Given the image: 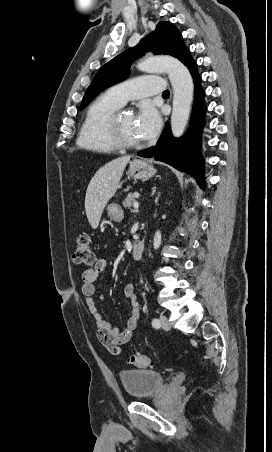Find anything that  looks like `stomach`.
I'll return each mask as SVG.
<instances>
[{
	"mask_svg": "<svg viewBox=\"0 0 272 452\" xmlns=\"http://www.w3.org/2000/svg\"><path fill=\"white\" fill-rule=\"evenodd\" d=\"M129 164V169L126 172L128 177L147 180L156 174V169L153 167L152 162L148 160L134 159ZM107 211L111 220L120 222L124 218L123 210L118 204H109Z\"/></svg>",
	"mask_w": 272,
	"mask_h": 452,
	"instance_id": "1",
	"label": "stomach"
}]
</instances>
